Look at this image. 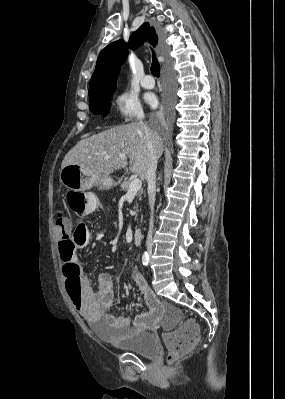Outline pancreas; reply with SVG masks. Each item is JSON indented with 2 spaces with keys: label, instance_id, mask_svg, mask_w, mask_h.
Wrapping results in <instances>:
<instances>
[{
  "label": "pancreas",
  "instance_id": "obj_1",
  "mask_svg": "<svg viewBox=\"0 0 285 399\" xmlns=\"http://www.w3.org/2000/svg\"><path fill=\"white\" fill-rule=\"evenodd\" d=\"M120 182H121V181H119V183H120ZM130 183H131V181H130L128 178H125L124 181L121 182V185H120L121 190H123V191H128V189H129V187H130ZM142 194H143V190L140 189V190L137 192V197L139 198V200H141V195H142Z\"/></svg>",
  "mask_w": 285,
  "mask_h": 399
}]
</instances>
